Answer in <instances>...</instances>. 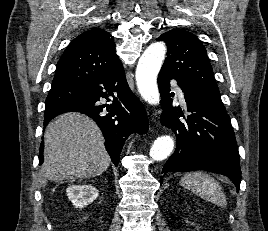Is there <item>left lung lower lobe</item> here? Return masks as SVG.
<instances>
[{"label": "left lung lower lobe", "instance_id": "0a47b994", "mask_svg": "<svg viewBox=\"0 0 268 231\" xmlns=\"http://www.w3.org/2000/svg\"><path fill=\"white\" fill-rule=\"evenodd\" d=\"M170 79L177 80L184 92L187 111L191 113L185 121L179 119L180 111L172 106ZM158 86L164 108L161 123L171 128L177 138L176 150L165 163L162 174L206 170L226 175L239 190V154L226 110L168 72L160 70Z\"/></svg>", "mask_w": 268, "mask_h": 231}]
</instances>
